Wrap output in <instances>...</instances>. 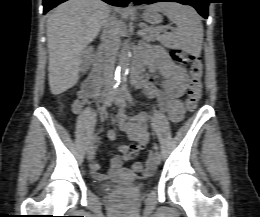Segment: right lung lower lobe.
Listing matches in <instances>:
<instances>
[{
	"mask_svg": "<svg viewBox=\"0 0 260 217\" xmlns=\"http://www.w3.org/2000/svg\"><path fill=\"white\" fill-rule=\"evenodd\" d=\"M67 0H43V13L45 14L52 8L56 7L58 4L65 2ZM114 6L126 7L131 0H103Z\"/></svg>",
	"mask_w": 260,
	"mask_h": 217,
	"instance_id": "1",
	"label": "right lung lower lobe"
}]
</instances>
